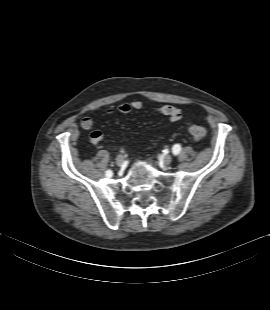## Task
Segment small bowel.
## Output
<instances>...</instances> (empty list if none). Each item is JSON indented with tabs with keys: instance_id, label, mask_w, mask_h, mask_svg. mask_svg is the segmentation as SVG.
<instances>
[{
	"instance_id": "small-bowel-1",
	"label": "small bowel",
	"mask_w": 270,
	"mask_h": 310,
	"mask_svg": "<svg viewBox=\"0 0 270 310\" xmlns=\"http://www.w3.org/2000/svg\"><path fill=\"white\" fill-rule=\"evenodd\" d=\"M143 108V103L139 100H134L129 103H122L116 108L109 109L107 115H114L116 113L128 114L134 110L139 111ZM155 112L168 117L171 121H178L181 118V111L173 105H164L155 109ZM94 121L91 117H84L80 121V126L89 130L92 128ZM104 138L101 131L95 130L90 134V141L92 144H99Z\"/></svg>"
}]
</instances>
